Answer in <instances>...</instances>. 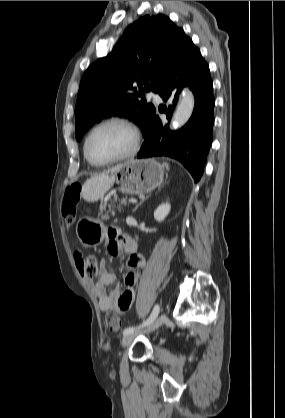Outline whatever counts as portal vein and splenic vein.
Segmentation results:
<instances>
[{
  "mask_svg": "<svg viewBox=\"0 0 285 418\" xmlns=\"http://www.w3.org/2000/svg\"><path fill=\"white\" fill-rule=\"evenodd\" d=\"M129 202L135 203V202H137V200L136 199H130Z\"/></svg>",
  "mask_w": 285,
  "mask_h": 418,
  "instance_id": "obj_1",
  "label": "portal vein and splenic vein"
}]
</instances>
